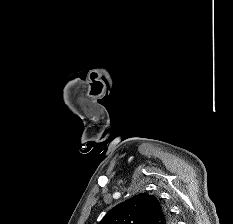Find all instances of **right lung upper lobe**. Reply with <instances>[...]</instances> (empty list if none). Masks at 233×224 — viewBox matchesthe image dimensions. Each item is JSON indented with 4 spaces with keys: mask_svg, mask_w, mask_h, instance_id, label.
Here are the masks:
<instances>
[{
    "mask_svg": "<svg viewBox=\"0 0 233 224\" xmlns=\"http://www.w3.org/2000/svg\"><path fill=\"white\" fill-rule=\"evenodd\" d=\"M165 207L153 195L138 194L111 209L98 224H171Z\"/></svg>",
    "mask_w": 233,
    "mask_h": 224,
    "instance_id": "1",
    "label": "right lung upper lobe"
}]
</instances>
